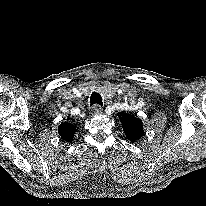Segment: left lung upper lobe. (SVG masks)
<instances>
[{
  "instance_id": "obj_1",
  "label": "left lung upper lobe",
  "mask_w": 206,
  "mask_h": 206,
  "mask_svg": "<svg viewBox=\"0 0 206 206\" xmlns=\"http://www.w3.org/2000/svg\"><path fill=\"white\" fill-rule=\"evenodd\" d=\"M119 118L122 120V128L128 140L135 142L144 135L142 120L127 113H121Z\"/></svg>"
}]
</instances>
